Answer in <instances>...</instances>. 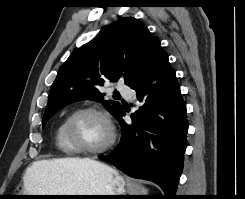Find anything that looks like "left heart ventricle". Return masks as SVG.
Listing matches in <instances>:
<instances>
[{"mask_svg":"<svg viewBox=\"0 0 245 199\" xmlns=\"http://www.w3.org/2000/svg\"><path fill=\"white\" fill-rule=\"evenodd\" d=\"M73 138L82 146L98 148L109 138L106 122L94 114H84L77 117L72 124Z\"/></svg>","mask_w":245,"mask_h":199,"instance_id":"b2bd125f","label":"left heart ventricle"}]
</instances>
